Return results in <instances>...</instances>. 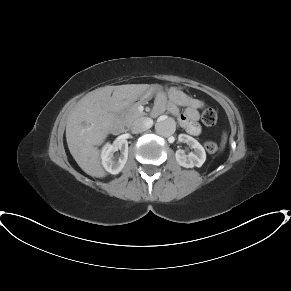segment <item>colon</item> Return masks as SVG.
I'll list each match as a JSON object with an SVG mask.
<instances>
[{
  "instance_id": "obj_1",
  "label": "colon",
  "mask_w": 291,
  "mask_h": 291,
  "mask_svg": "<svg viewBox=\"0 0 291 291\" xmlns=\"http://www.w3.org/2000/svg\"><path fill=\"white\" fill-rule=\"evenodd\" d=\"M201 119L204 125L213 126L218 121V115L214 109L207 108L202 112ZM205 149L208 153L213 154L218 150V145L213 141H207L205 142Z\"/></svg>"
}]
</instances>
